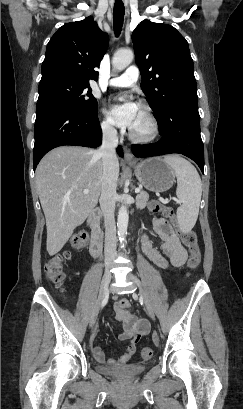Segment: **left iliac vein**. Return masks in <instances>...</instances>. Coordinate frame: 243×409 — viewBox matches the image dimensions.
<instances>
[{
	"mask_svg": "<svg viewBox=\"0 0 243 409\" xmlns=\"http://www.w3.org/2000/svg\"><path fill=\"white\" fill-rule=\"evenodd\" d=\"M127 278H128L129 281H131L132 283H134L135 285H137V286L139 287V295H140L141 299H142L143 302H144L146 311L148 312V314L150 315V317H151L152 319H154V318H155V315H154L153 307H152L151 303L149 302L147 296L145 295L144 290L140 287V281H139L138 278H137L134 274H132V273H129L128 276H127Z\"/></svg>",
	"mask_w": 243,
	"mask_h": 409,
	"instance_id": "left-iliac-vein-1",
	"label": "left iliac vein"
}]
</instances>
